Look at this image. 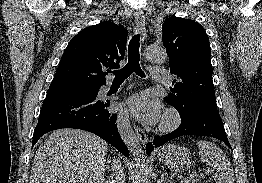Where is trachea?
<instances>
[{"label": "trachea", "instance_id": "obj_1", "mask_svg": "<svg viewBox=\"0 0 262 183\" xmlns=\"http://www.w3.org/2000/svg\"><path fill=\"white\" fill-rule=\"evenodd\" d=\"M140 34H135L128 47V63L120 70L113 71L115 75L114 82H123L126 80L133 72H135L140 77H145L142 71L139 61H140Z\"/></svg>", "mask_w": 262, "mask_h": 183}]
</instances>
